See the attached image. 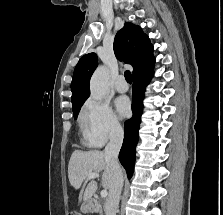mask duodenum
<instances>
[{"instance_id": "obj_1", "label": "duodenum", "mask_w": 223, "mask_h": 215, "mask_svg": "<svg viewBox=\"0 0 223 215\" xmlns=\"http://www.w3.org/2000/svg\"><path fill=\"white\" fill-rule=\"evenodd\" d=\"M83 210L88 212V213H93L96 211V206L94 204V200L92 198H86L84 205H83Z\"/></svg>"}]
</instances>
